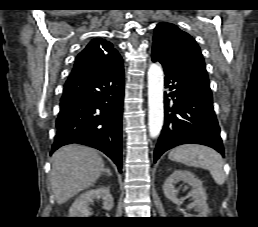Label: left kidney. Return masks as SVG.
Segmentation results:
<instances>
[{
  "label": "left kidney",
  "mask_w": 258,
  "mask_h": 227,
  "mask_svg": "<svg viewBox=\"0 0 258 227\" xmlns=\"http://www.w3.org/2000/svg\"><path fill=\"white\" fill-rule=\"evenodd\" d=\"M183 181L192 187L189 196L192 197L193 202L188 205V209L194 208L198 215H191L184 213L185 217H208L210 210L206 202L207 195L203 188L201 180H199L193 173L187 170H175L165 181L163 191L165 196L177 205L183 204V199L177 198V189L175 184Z\"/></svg>",
  "instance_id": "left-kidney-1"
}]
</instances>
